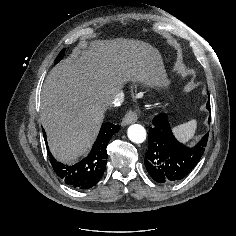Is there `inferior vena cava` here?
<instances>
[{"label": "inferior vena cava", "instance_id": "obj_1", "mask_svg": "<svg viewBox=\"0 0 236 236\" xmlns=\"http://www.w3.org/2000/svg\"><path fill=\"white\" fill-rule=\"evenodd\" d=\"M124 101V95L122 92L118 93L115 98L112 100L113 106H120Z\"/></svg>", "mask_w": 236, "mask_h": 236}]
</instances>
